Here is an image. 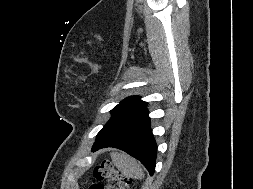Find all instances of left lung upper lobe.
I'll return each instance as SVG.
<instances>
[{
    "label": "left lung upper lobe",
    "mask_w": 253,
    "mask_h": 189,
    "mask_svg": "<svg viewBox=\"0 0 253 189\" xmlns=\"http://www.w3.org/2000/svg\"><path fill=\"white\" fill-rule=\"evenodd\" d=\"M146 105L147 103L141 101L137 96H131L124 99L111 110L112 117L97 136L106 134L126 122H129L135 117L147 112Z\"/></svg>",
    "instance_id": "obj_1"
}]
</instances>
